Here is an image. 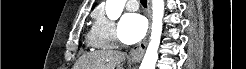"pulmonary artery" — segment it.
Listing matches in <instances>:
<instances>
[{
	"label": "pulmonary artery",
	"mask_w": 246,
	"mask_h": 69,
	"mask_svg": "<svg viewBox=\"0 0 246 69\" xmlns=\"http://www.w3.org/2000/svg\"><path fill=\"white\" fill-rule=\"evenodd\" d=\"M126 8L130 11H135L138 9L137 1L129 0L126 2Z\"/></svg>",
	"instance_id": "obj_1"
}]
</instances>
